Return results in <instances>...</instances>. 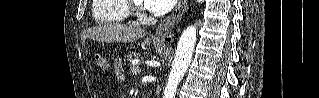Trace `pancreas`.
<instances>
[{
    "instance_id": "cf45deb5",
    "label": "pancreas",
    "mask_w": 319,
    "mask_h": 98,
    "mask_svg": "<svg viewBox=\"0 0 319 98\" xmlns=\"http://www.w3.org/2000/svg\"><path fill=\"white\" fill-rule=\"evenodd\" d=\"M139 56L138 53L136 52H133V53H130V54H125L124 55V62H129L135 58H137Z\"/></svg>"
}]
</instances>
